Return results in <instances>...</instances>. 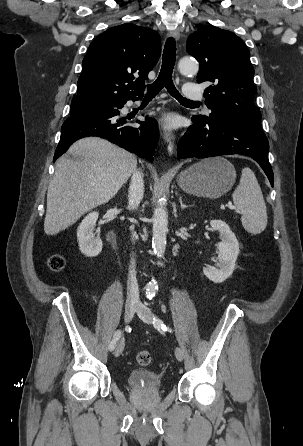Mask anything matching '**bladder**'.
Listing matches in <instances>:
<instances>
[{
    "label": "bladder",
    "instance_id": "obj_1",
    "mask_svg": "<svg viewBox=\"0 0 303 446\" xmlns=\"http://www.w3.org/2000/svg\"><path fill=\"white\" fill-rule=\"evenodd\" d=\"M126 382L129 387L137 389H160L162 386V379L157 373L142 368L131 370Z\"/></svg>",
    "mask_w": 303,
    "mask_h": 446
}]
</instances>
